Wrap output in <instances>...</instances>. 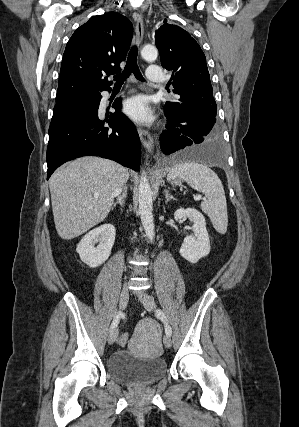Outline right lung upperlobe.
<instances>
[{"mask_svg":"<svg viewBox=\"0 0 299 427\" xmlns=\"http://www.w3.org/2000/svg\"><path fill=\"white\" fill-rule=\"evenodd\" d=\"M132 36L131 22L116 12L91 17L79 27L63 54L56 102L110 89L111 82L101 77L120 72Z\"/></svg>","mask_w":299,"mask_h":427,"instance_id":"right-lung-upper-lobe-1","label":"right lung upper lobe"}]
</instances>
